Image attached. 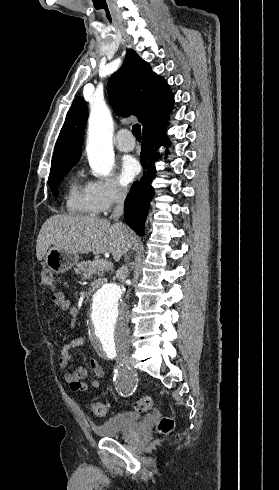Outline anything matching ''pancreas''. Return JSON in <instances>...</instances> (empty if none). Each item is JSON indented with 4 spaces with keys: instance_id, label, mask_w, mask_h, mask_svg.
<instances>
[{
    "instance_id": "obj_1",
    "label": "pancreas",
    "mask_w": 279,
    "mask_h": 490,
    "mask_svg": "<svg viewBox=\"0 0 279 490\" xmlns=\"http://www.w3.org/2000/svg\"><path fill=\"white\" fill-rule=\"evenodd\" d=\"M109 270H111V264H108V262L104 260V264H99V266H93V262H79L74 272L75 274H83L84 278H91L93 274L103 276V274L109 272Z\"/></svg>"
}]
</instances>
